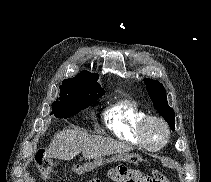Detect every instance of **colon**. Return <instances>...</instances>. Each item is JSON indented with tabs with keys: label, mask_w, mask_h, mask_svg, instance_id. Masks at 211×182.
Wrapping results in <instances>:
<instances>
[{
	"label": "colon",
	"mask_w": 211,
	"mask_h": 182,
	"mask_svg": "<svg viewBox=\"0 0 211 182\" xmlns=\"http://www.w3.org/2000/svg\"><path fill=\"white\" fill-rule=\"evenodd\" d=\"M36 162L41 176L48 180L52 173V162L49 159L47 149L41 148L38 150L36 153ZM72 171L76 175H83L85 173L84 166L81 164L73 165ZM112 179L122 182H169V180L158 171H154L148 176L138 170L122 166L113 170ZM88 182H101V180L93 179Z\"/></svg>",
	"instance_id": "colon-1"
}]
</instances>
